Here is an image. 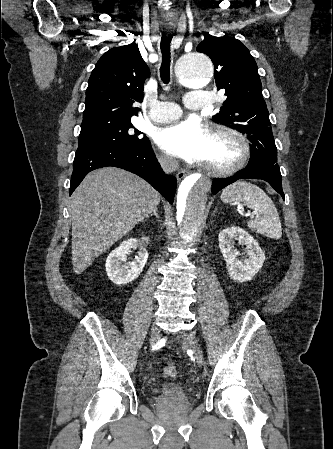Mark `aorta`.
I'll return each instance as SVG.
<instances>
[{
	"instance_id": "1",
	"label": "aorta",
	"mask_w": 333,
	"mask_h": 449,
	"mask_svg": "<svg viewBox=\"0 0 333 449\" xmlns=\"http://www.w3.org/2000/svg\"><path fill=\"white\" fill-rule=\"evenodd\" d=\"M214 74L210 58L202 52H192L179 62L178 79L182 85L194 89L208 84ZM211 180L205 176L191 174L180 183L177 201V220L180 236L191 242L197 236L204 214Z\"/></svg>"
}]
</instances>
